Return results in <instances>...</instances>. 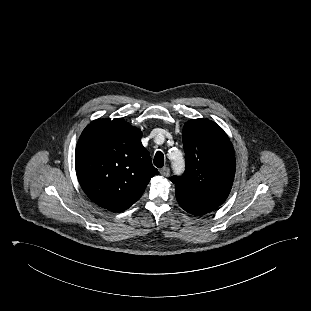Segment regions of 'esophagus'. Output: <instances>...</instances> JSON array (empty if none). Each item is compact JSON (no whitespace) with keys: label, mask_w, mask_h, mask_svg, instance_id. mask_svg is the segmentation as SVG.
Instances as JSON below:
<instances>
[{"label":"esophagus","mask_w":311,"mask_h":311,"mask_svg":"<svg viewBox=\"0 0 311 311\" xmlns=\"http://www.w3.org/2000/svg\"><path fill=\"white\" fill-rule=\"evenodd\" d=\"M159 172L161 175L167 177L170 174V169L168 167H164V168L160 169Z\"/></svg>","instance_id":"esophagus-1"}]
</instances>
